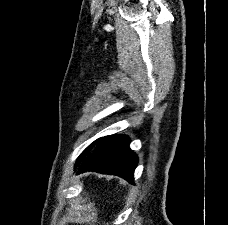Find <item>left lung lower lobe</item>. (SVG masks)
<instances>
[{
  "label": "left lung lower lobe",
  "mask_w": 228,
  "mask_h": 225,
  "mask_svg": "<svg viewBox=\"0 0 228 225\" xmlns=\"http://www.w3.org/2000/svg\"><path fill=\"white\" fill-rule=\"evenodd\" d=\"M138 159L129 148V138L111 135L100 138L91 153L86 157L78 174L95 171L113 174L133 183V173Z\"/></svg>",
  "instance_id": "left-lung-lower-lobe-1"
}]
</instances>
